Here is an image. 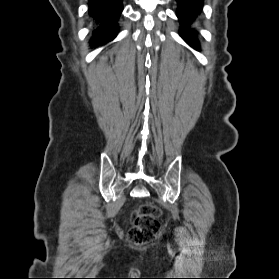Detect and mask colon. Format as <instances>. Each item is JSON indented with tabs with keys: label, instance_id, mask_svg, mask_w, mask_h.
Masks as SVG:
<instances>
[{
	"label": "colon",
	"instance_id": "colon-1",
	"mask_svg": "<svg viewBox=\"0 0 279 279\" xmlns=\"http://www.w3.org/2000/svg\"><path fill=\"white\" fill-rule=\"evenodd\" d=\"M161 209L153 204H141L131 214L129 242L134 246L144 245L156 238L160 231Z\"/></svg>",
	"mask_w": 279,
	"mask_h": 279
}]
</instances>
